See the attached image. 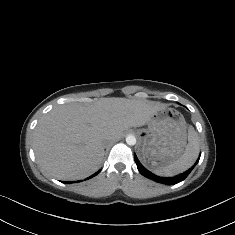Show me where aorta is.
I'll return each mask as SVG.
<instances>
[{
  "mask_svg": "<svg viewBox=\"0 0 235 235\" xmlns=\"http://www.w3.org/2000/svg\"><path fill=\"white\" fill-rule=\"evenodd\" d=\"M126 143H127L128 145H135V144H136V138H135V136H134V135H128V136L126 137Z\"/></svg>",
  "mask_w": 235,
  "mask_h": 235,
  "instance_id": "1",
  "label": "aorta"
}]
</instances>
